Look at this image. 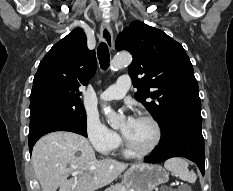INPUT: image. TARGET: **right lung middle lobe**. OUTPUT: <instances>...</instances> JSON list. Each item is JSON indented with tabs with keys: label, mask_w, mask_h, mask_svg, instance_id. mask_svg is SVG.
I'll list each match as a JSON object with an SVG mask.
<instances>
[{
	"label": "right lung middle lobe",
	"mask_w": 233,
	"mask_h": 191,
	"mask_svg": "<svg viewBox=\"0 0 233 191\" xmlns=\"http://www.w3.org/2000/svg\"><path fill=\"white\" fill-rule=\"evenodd\" d=\"M30 128L42 122H64L86 131V113L81 101L57 95L30 100Z\"/></svg>",
	"instance_id": "1"
}]
</instances>
